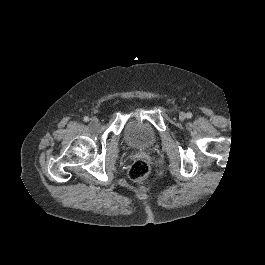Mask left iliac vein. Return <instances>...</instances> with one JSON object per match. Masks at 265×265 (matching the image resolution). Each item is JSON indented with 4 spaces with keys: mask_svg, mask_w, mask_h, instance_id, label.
<instances>
[{
    "mask_svg": "<svg viewBox=\"0 0 265 265\" xmlns=\"http://www.w3.org/2000/svg\"><path fill=\"white\" fill-rule=\"evenodd\" d=\"M179 119H180V120H185V119H186V114H185L184 112H181V113L179 114Z\"/></svg>",
    "mask_w": 265,
    "mask_h": 265,
    "instance_id": "4c4485c4",
    "label": "left iliac vein"
}]
</instances>
